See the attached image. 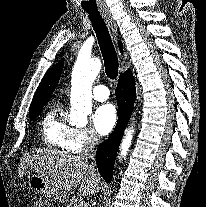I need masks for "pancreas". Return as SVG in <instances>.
Segmentation results:
<instances>
[{
    "instance_id": "1",
    "label": "pancreas",
    "mask_w": 206,
    "mask_h": 207,
    "mask_svg": "<svg viewBox=\"0 0 206 207\" xmlns=\"http://www.w3.org/2000/svg\"><path fill=\"white\" fill-rule=\"evenodd\" d=\"M68 207H84V202L76 196L70 199V204Z\"/></svg>"
}]
</instances>
